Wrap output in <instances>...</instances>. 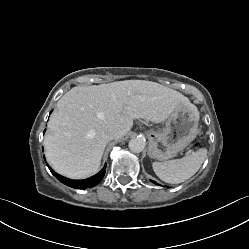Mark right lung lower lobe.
I'll return each instance as SVG.
<instances>
[{"instance_id":"obj_1","label":"right lung lower lobe","mask_w":249,"mask_h":249,"mask_svg":"<svg viewBox=\"0 0 249 249\" xmlns=\"http://www.w3.org/2000/svg\"><path fill=\"white\" fill-rule=\"evenodd\" d=\"M48 168L50 169L51 173L62 183H64L67 186H70L72 188L76 189H86V188H91L97 185L104 177L105 171H106V165L104 168L96 175H94L91 178L85 179V180H70L68 178H65L56 172H54L49 166Z\"/></svg>"}]
</instances>
